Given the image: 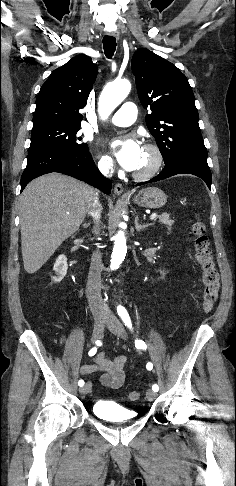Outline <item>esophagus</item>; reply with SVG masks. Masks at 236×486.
Listing matches in <instances>:
<instances>
[{"instance_id": "34e87169", "label": "esophagus", "mask_w": 236, "mask_h": 486, "mask_svg": "<svg viewBox=\"0 0 236 486\" xmlns=\"http://www.w3.org/2000/svg\"><path fill=\"white\" fill-rule=\"evenodd\" d=\"M110 36L115 37L116 39H119V32L118 31H111L108 33ZM114 193L118 196L125 195L124 194V189L123 186L120 183L115 184L114 186Z\"/></svg>"}]
</instances>
